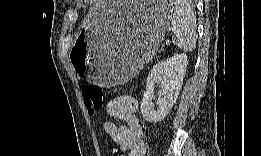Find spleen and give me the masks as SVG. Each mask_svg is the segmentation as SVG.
<instances>
[{
	"instance_id": "obj_1",
	"label": "spleen",
	"mask_w": 261,
	"mask_h": 156,
	"mask_svg": "<svg viewBox=\"0 0 261 156\" xmlns=\"http://www.w3.org/2000/svg\"><path fill=\"white\" fill-rule=\"evenodd\" d=\"M171 28L173 43L184 52L195 48L197 40L196 18L190 4L185 0L171 3Z\"/></svg>"
}]
</instances>
